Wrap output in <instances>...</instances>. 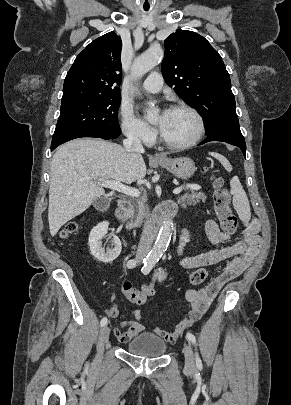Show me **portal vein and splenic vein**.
I'll list each match as a JSON object with an SVG mask.
<instances>
[{"label": "portal vein and splenic vein", "mask_w": 291, "mask_h": 405, "mask_svg": "<svg viewBox=\"0 0 291 405\" xmlns=\"http://www.w3.org/2000/svg\"><path fill=\"white\" fill-rule=\"evenodd\" d=\"M99 184L103 187L116 190V191L126 194L127 196H130V197L137 198L140 196L139 190L126 186L119 181L107 180V181H101ZM187 188H190L192 190H200L201 186H199L197 184H191V185H188ZM182 190H183L182 187H178L173 190V193L175 195H178Z\"/></svg>", "instance_id": "portal-vein-and-splenic-vein-1"}]
</instances>
